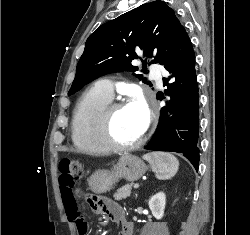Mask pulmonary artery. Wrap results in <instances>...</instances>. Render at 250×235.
<instances>
[{
	"label": "pulmonary artery",
	"mask_w": 250,
	"mask_h": 235,
	"mask_svg": "<svg viewBox=\"0 0 250 235\" xmlns=\"http://www.w3.org/2000/svg\"><path fill=\"white\" fill-rule=\"evenodd\" d=\"M151 77L157 82L159 86H162L161 71L152 67ZM95 86L99 91L106 94L109 97L113 96L114 85L113 82L109 79H102L96 82Z\"/></svg>",
	"instance_id": "obj_1"
}]
</instances>
